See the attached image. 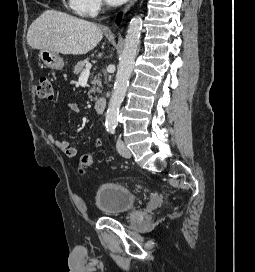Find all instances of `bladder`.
<instances>
[{"instance_id":"obj_1","label":"bladder","mask_w":255,"mask_h":272,"mask_svg":"<svg viewBox=\"0 0 255 272\" xmlns=\"http://www.w3.org/2000/svg\"><path fill=\"white\" fill-rule=\"evenodd\" d=\"M94 204L104 215L119 216L134 207L135 196L120 183H105L95 190Z\"/></svg>"}]
</instances>
